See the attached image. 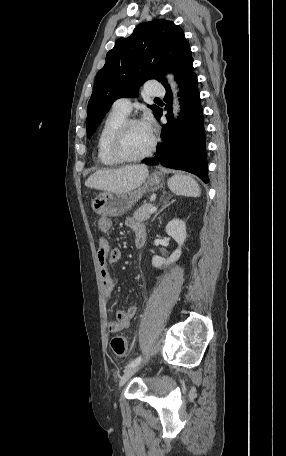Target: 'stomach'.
<instances>
[{"label":"stomach","mask_w":286,"mask_h":456,"mask_svg":"<svg viewBox=\"0 0 286 456\" xmlns=\"http://www.w3.org/2000/svg\"><path fill=\"white\" fill-rule=\"evenodd\" d=\"M162 184L163 175L160 172H154L148 176L140 188L127 193H102L91 201V207L99 215L110 217L121 216L131 209L145 193L159 189Z\"/></svg>","instance_id":"stomach-1"}]
</instances>
